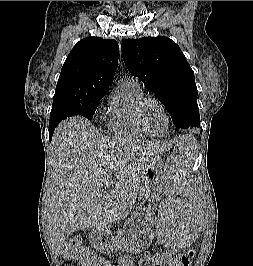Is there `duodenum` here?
<instances>
[{
    "label": "duodenum",
    "mask_w": 253,
    "mask_h": 266,
    "mask_svg": "<svg viewBox=\"0 0 253 266\" xmlns=\"http://www.w3.org/2000/svg\"><path fill=\"white\" fill-rule=\"evenodd\" d=\"M92 240L94 243L104 242L105 241V235L102 232H98L97 234L92 235Z\"/></svg>",
    "instance_id": "obj_1"
}]
</instances>
